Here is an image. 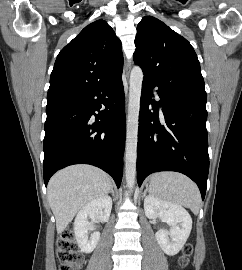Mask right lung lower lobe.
I'll return each mask as SVG.
<instances>
[{"label":"right lung lower lobe","instance_id":"1","mask_svg":"<svg viewBox=\"0 0 242 270\" xmlns=\"http://www.w3.org/2000/svg\"><path fill=\"white\" fill-rule=\"evenodd\" d=\"M102 105L105 110L100 111ZM46 113L45 185L57 170L83 163L106 171L119 188L126 134L121 75L90 91L47 103Z\"/></svg>","mask_w":242,"mask_h":270}]
</instances>
